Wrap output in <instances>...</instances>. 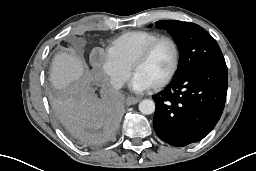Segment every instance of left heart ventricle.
<instances>
[{
    "mask_svg": "<svg viewBox=\"0 0 256 171\" xmlns=\"http://www.w3.org/2000/svg\"><path fill=\"white\" fill-rule=\"evenodd\" d=\"M174 60V52L167 41L159 43L151 52L148 59L135 71L136 76L153 86L162 81L170 72Z\"/></svg>",
    "mask_w": 256,
    "mask_h": 171,
    "instance_id": "obj_1",
    "label": "left heart ventricle"
}]
</instances>
